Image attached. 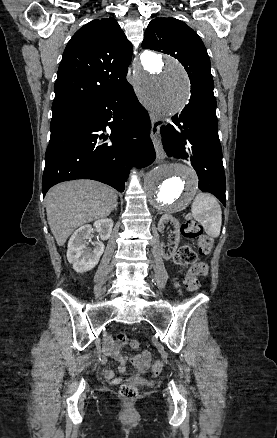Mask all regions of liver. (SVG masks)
Masks as SVG:
<instances>
[{
    "label": "liver",
    "instance_id": "6515ba94",
    "mask_svg": "<svg viewBox=\"0 0 277 438\" xmlns=\"http://www.w3.org/2000/svg\"><path fill=\"white\" fill-rule=\"evenodd\" d=\"M116 204L114 190L93 180L63 182L51 188L46 196V212L58 246H64L79 226L107 218Z\"/></svg>",
    "mask_w": 277,
    "mask_h": 438
}]
</instances>
